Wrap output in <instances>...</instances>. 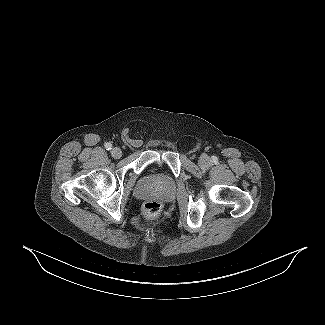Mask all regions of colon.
<instances>
[{"instance_id": "5ec220e1", "label": "colon", "mask_w": 325, "mask_h": 325, "mask_svg": "<svg viewBox=\"0 0 325 325\" xmlns=\"http://www.w3.org/2000/svg\"><path fill=\"white\" fill-rule=\"evenodd\" d=\"M162 210V205L155 199H150L143 206V213L148 219H155L159 216Z\"/></svg>"}]
</instances>
